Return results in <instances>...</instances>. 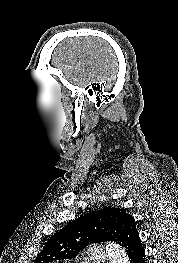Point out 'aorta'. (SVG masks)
Masks as SVG:
<instances>
[{
	"label": "aorta",
	"instance_id": "762f6f07",
	"mask_svg": "<svg viewBox=\"0 0 178 263\" xmlns=\"http://www.w3.org/2000/svg\"><path fill=\"white\" fill-rule=\"evenodd\" d=\"M106 253L110 263H130L125 250L116 243L109 242L106 246Z\"/></svg>",
	"mask_w": 178,
	"mask_h": 263
}]
</instances>
